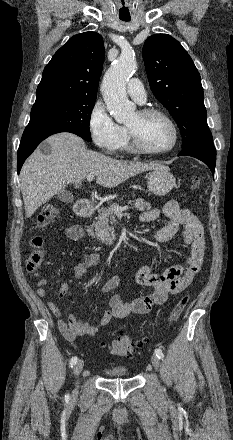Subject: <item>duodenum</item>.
<instances>
[{
    "instance_id": "410a0bca",
    "label": "duodenum",
    "mask_w": 233,
    "mask_h": 440,
    "mask_svg": "<svg viewBox=\"0 0 233 440\" xmlns=\"http://www.w3.org/2000/svg\"><path fill=\"white\" fill-rule=\"evenodd\" d=\"M94 211V207L87 200H80L75 205V213L79 217H90Z\"/></svg>"
}]
</instances>
